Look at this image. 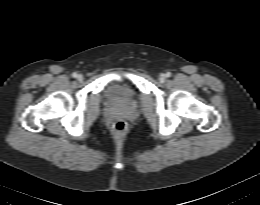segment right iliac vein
I'll list each match as a JSON object with an SVG mask.
<instances>
[{"label":"right iliac vein","instance_id":"1","mask_svg":"<svg viewBox=\"0 0 260 205\" xmlns=\"http://www.w3.org/2000/svg\"><path fill=\"white\" fill-rule=\"evenodd\" d=\"M77 80L78 81H82L83 80V76L81 74L77 75Z\"/></svg>","mask_w":260,"mask_h":205}]
</instances>
